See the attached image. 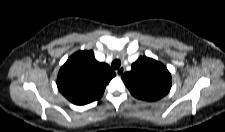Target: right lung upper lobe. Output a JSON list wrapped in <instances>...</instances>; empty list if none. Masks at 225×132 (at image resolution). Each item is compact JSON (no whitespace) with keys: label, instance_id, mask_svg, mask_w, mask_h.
I'll return each instance as SVG.
<instances>
[{"label":"right lung upper lobe","instance_id":"obj_1","mask_svg":"<svg viewBox=\"0 0 225 132\" xmlns=\"http://www.w3.org/2000/svg\"><path fill=\"white\" fill-rule=\"evenodd\" d=\"M115 72L96 61L93 51H78L61 67L57 86L72 103L85 105L98 100Z\"/></svg>","mask_w":225,"mask_h":132}]
</instances>
